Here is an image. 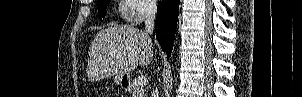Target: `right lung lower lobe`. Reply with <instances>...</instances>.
<instances>
[{"label": "right lung lower lobe", "mask_w": 302, "mask_h": 97, "mask_svg": "<svg viewBox=\"0 0 302 97\" xmlns=\"http://www.w3.org/2000/svg\"><path fill=\"white\" fill-rule=\"evenodd\" d=\"M178 11L179 0H162L157 6L155 32L159 44L169 57L173 48Z\"/></svg>", "instance_id": "right-lung-lower-lobe-1"}]
</instances>
